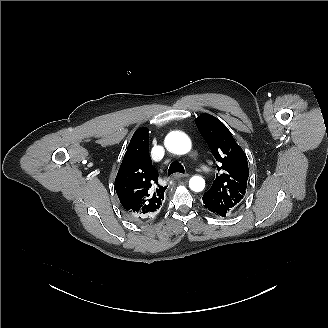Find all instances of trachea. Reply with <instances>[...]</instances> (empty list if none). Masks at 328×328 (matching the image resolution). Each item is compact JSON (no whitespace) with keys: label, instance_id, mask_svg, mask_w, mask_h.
Returning a JSON list of instances; mask_svg holds the SVG:
<instances>
[{"label":"trachea","instance_id":"trachea-1","mask_svg":"<svg viewBox=\"0 0 328 328\" xmlns=\"http://www.w3.org/2000/svg\"><path fill=\"white\" fill-rule=\"evenodd\" d=\"M176 172L184 173V167L178 161L171 163L168 169V175L170 176Z\"/></svg>","mask_w":328,"mask_h":328}]
</instances>
